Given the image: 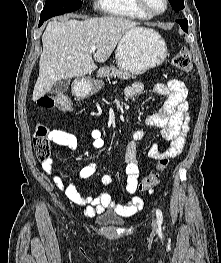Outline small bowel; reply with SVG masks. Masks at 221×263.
Masks as SVG:
<instances>
[{"label":"small bowel","mask_w":221,"mask_h":263,"mask_svg":"<svg viewBox=\"0 0 221 263\" xmlns=\"http://www.w3.org/2000/svg\"><path fill=\"white\" fill-rule=\"evenodd\" d=\"M151 90L164 97L160 109L146 119V123L161 129L163 138L170 142V146L162 151L156 144H152L147 151L149 157L153 159L173 158L180 154L186 143V136L189 131L188 113V90L185 84L179 80L172 79L166 83H157ZM145 92V86L141 82H134L125 89V96L134 97ZM145 135L144 131H137L126 146V184L125 192L130 196L124 204L115 203L107 192H100L96 196H84L74 184H65L61 176L53 167L50 159L42 161L43 170L52 177L56 187L63 191L71 202L78 206L85 207V214L88 217L104 212L107 209L113 210L120 216H131L143 206L142 198L135 195L138 186L139 168L136 158L135 141L140 140ZM91 144L94 149H101L105 145L102 132L98 129L90 131ZM49 139L70 150L78 147L77 137L64 130H53L49 133ZM96 171L94 164L84 166L79 173L81 178H89ZM102 182L109 184V175H103Z\"/></svg>","instance_id":"small-bowel-1"}]
</instances>
